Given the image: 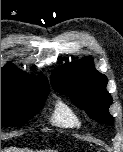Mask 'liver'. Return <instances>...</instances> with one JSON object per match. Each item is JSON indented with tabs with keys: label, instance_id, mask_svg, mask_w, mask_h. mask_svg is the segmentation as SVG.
Segmentation results:
<instances>
[{
	"label": "liver",
	"instance_id": "liver-1",
	"mask_svg": "<svg viewBox=\"0 0 123 152\" xmlns=\"http://www.w3.org/2000/svg\"><path fill=\"white\" fill-rule=\"evenodd\" d=\"M2 152H32L29 149H17V148H10V149H5Z\"/></svg>",
	"mask_w": 123,
	"mask_h": 152
}]
</instances>
